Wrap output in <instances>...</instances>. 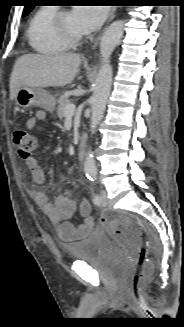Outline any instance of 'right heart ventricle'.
<instances>
[{
    "label": "right heart ventricle",
    "mask_w": 184,
    "mask_h": 327,
    "mask_svg": "<svg viewBox=\"0 0 184 327\" xmlns=\"http://www.w3.org/2000/svg\"><path fill=\"white\" fill-rule=\"evenodd\" d=\"M56 12L55 7H41L29 21L27 39L38 53L55 55L66 52L71 47L53 28L52 20Z\"/></svg>",
    "instance_id": "e07e8e85"
}]
</instances>
